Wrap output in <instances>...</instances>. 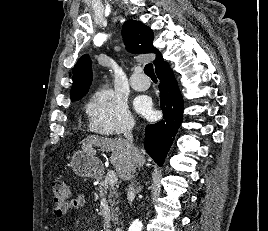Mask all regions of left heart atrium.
I'll use <instances>...</instances> for the list:
<instances>
[{"mask_svg":"<svg viewBox=\"0 0 268 231\" xmlns=\"http://www.w3.org/2000/svg\"><path fill=\"white\" fill-rule=\"evenodd\" d=\"M135 108L138 112L146 115L151 116L152 115V107L151 103L148 101V99L139 97L135 100Z\"/></svg>","mask_w":268,"mask_h":231,"instance_id":"left-heart-atrium-1","label":"left heart atrium"}]
</instances>
